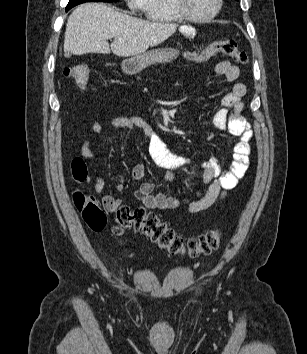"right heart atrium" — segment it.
Segmentation results:
<instances>
[{
    "mask_svg": "<svg viewBox=\"0 0 307 354\" xmlns=\"http://www.w3.org/2000/svg\"><path fill=\"white\" fill-rule=\"evenodd\" d=\"M147 0H126L127 5L133 10H143Z\"/></svg>",
    "mask_w": 307,
    "mask_h": 354,
    "instance_id": "d8ad5b80",
    "label": "right heart atrium"
}]
</instances>
